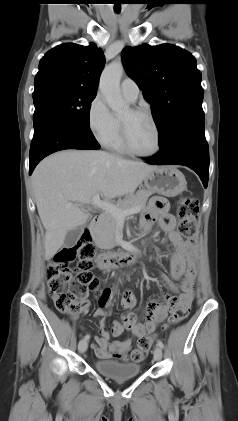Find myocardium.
Segmentation results:
<instances>
[{
	"label": "myocardium",
	"instance_id": "1",
	"mask_svg": "<svg viewBox=\"0 0 238 421\" xmlns=\"http://www.w3.org/2000/svg\"><path fill=\"white\" fill-rule=\"evenodd\" d=\"M131 111L135 114H143L145 116H147L150 121L152 122L155 132H156V148L150 152V153H140L138 151H136L133 146L131 145L129 136H128V131H127V126L124 123V121H122L121 119H119V124H120V135H121V139L123 142L124 147L126 148L127 152L132 154L133 156L139 157V158H151L155 155H157L162 147V134H161V130L159 127V124L156 120V118L154 117V115L147 109L145 108H141V107H133L130 108Z\"/></svg>",
	"mask_w": 238,
	"mask_h": 421
}]
</instances>
